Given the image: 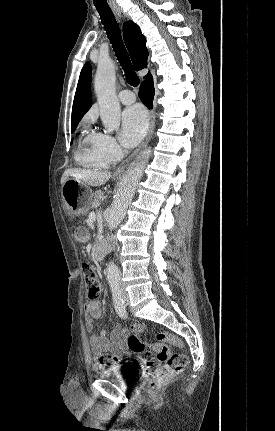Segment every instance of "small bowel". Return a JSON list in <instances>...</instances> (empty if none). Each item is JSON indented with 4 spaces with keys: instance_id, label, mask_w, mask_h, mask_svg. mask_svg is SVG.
Returning a JSON list of instances; mask_svg holds the SVG:
<instances>
[{
    "instance_id": "1",
    "label": "small bowel",
    "mask_w": 275,
    "mask_h": 431,
    "mask_svg": "<svg viewBox=\"0 0 275 431\" xmlns=\"http://www.w3.org/2000/svg\"><path fill=\"white\" fill-rule=\"evenodd\" d=\"M75 238L79 242H86L88 234L84 229H77ZM102 304L98 300H92L85 306V325L88 332L91 333L89 342L92 353L98 358L102 355L111 354L112 362L118 361L122 354L126 353L125 332H121L120 327L116 326L110 334L106 331H101L96 334L94 332V322L102 315ZM133 330L136 333H141L143 327L134 325Z\"/></svg>"
}]
</instances>
